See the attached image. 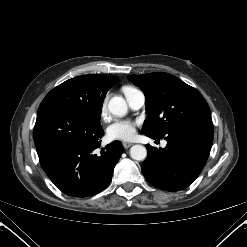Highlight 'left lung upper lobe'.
<instances>
[{
  "mask_svg": "<svg viewBox=\"0 0 247 247\" xmlns=\"http://www.w3.org/2000/svg\"><path fill=\"white\" fill-rule=\"evenodd\" d=\"M146 97L142 133L163 138L191 123L212 121L209 106L195 88L168 73L128 75Z\"/></svg>",
  "mask_w": 247,
  "mask_h": 247,
  "instance_id": "5c2ea615",
  "label": "left lung upper lobe"
}]
</instances>
